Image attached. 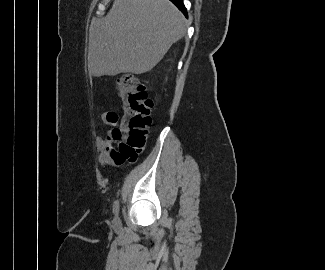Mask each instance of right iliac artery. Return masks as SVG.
<instances>
[{"mask_svg":"<svg viewBox=\"0 0 325 270\" xmlns=\"http://www.w3.org/2000/svg\"><path fill=\"white\" fill-rule=\"evenodd\" d=\"M119 212V200H116L113 205V213L117 215Z\"/></svg>","mask_w":325,"mask_h":270,"instance_id":"82829eb1","label":"right iliac artery"}]
</instances>
